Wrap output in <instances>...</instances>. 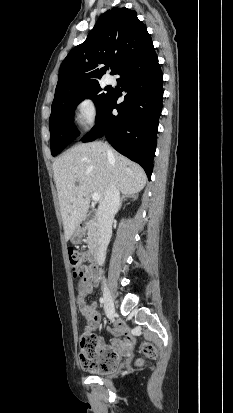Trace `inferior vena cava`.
<instances>
[{"instance_id": "inferior-vena-cava-1", "label": "inferior vena cava", "mask_w": 233, "mask_h": 413, "mask_svg": "<svg viewBox=\"0 0 233 413\" xmlns=\"http://www.w3.org/2000/svg\"><path fill=\"white\" fill-rule=\"evenodd\" d=\"M112 151L108 150V156L111 157ZM120 206V192L115 183L108 187L103 201L98 207V224H99V247L97 251V262L102 265L106 258V249L112 235V220Z\"/></svg>"}]
</instances>
